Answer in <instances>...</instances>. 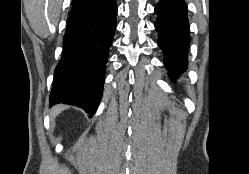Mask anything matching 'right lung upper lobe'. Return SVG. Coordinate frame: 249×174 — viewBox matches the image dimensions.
<instances>
[{"mask_svg": "<svg viewBox=\"0 0 249 174\" xmlns=\"http://www.w3.org/2000/svg\"><path fill=\"white\" fill-rule=\"evenodd\" d=\"M98 0H73L72 10L80 9Z\"/></svg>", "mask_w": 249, "mask_h": 174, "instance_id": "1", "label": "right lung upper lobe"}]
</instances>
